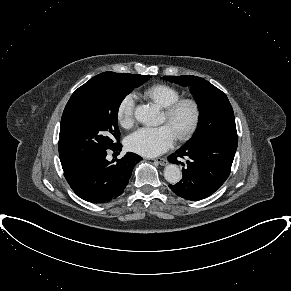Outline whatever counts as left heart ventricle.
<instances>
[{
  "instance_id": "1",
  "label": "left heart ventricle",
  "mask_w": 291,
  "mask_h": 291,
  "mask_svg": "<svg viewBox=\"0 0 291 291\" xmlns=\"http://www.w3.org/2000/svg\"><path fill=\"white\" fill-rule=\"evenodd\" d=\"M191 110L185 107L172 121H168L166 116L163 115L162 122L167 124L177 136L180 132L184 131L190 123L191 120Z\"/></svg>"
}]
</instances>
